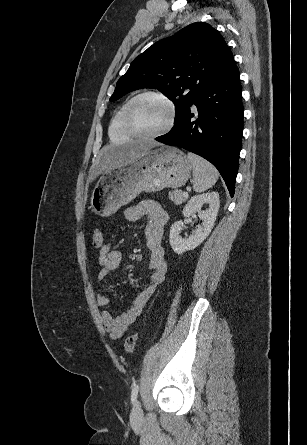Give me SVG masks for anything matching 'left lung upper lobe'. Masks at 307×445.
I'll list each match as a JSON object with an SVG mask.
<instances>
[{"instance_id":"1","label":"left lung upper lobe","mask_w":307,"mask_h":445,"mask_svg":"<svg viewBox=\"0 0 307 445\" xmlns=\"http://www.w3.org/2000/svg\"><path fill=\"white\" fill-rule=\"evenodd\" d=\"M232 59L230 49L216 29L204 22L192 23L136 57L118 80L110 101L133 90L158 89L175 104L176 124Z\"/></svg>"}]
</instances>
